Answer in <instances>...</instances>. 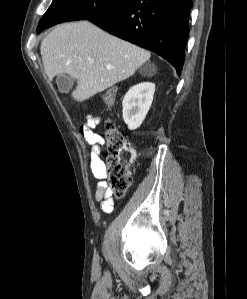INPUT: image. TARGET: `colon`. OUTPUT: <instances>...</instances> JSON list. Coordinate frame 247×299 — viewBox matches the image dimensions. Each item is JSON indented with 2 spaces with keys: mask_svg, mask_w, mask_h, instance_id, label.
<instances>
[{
  "mask_svg": "<svg viewBox=\"0 0 247 299\" xmlns=\"http://www.w3.org/2000/svg\"><path fill=\"white\" fill-rule=\"evenodd\" d=\"M115 97V91L112 89L103 93L102 98L108 109L113 107ZM104 137L106 156L103 178L111 193L121 197L126 194L133 181L136 151L110 119L105 122Z\"/></svg>",
  "mask_w": 247,
  "mask_h": 299,
  "instance_id": "1",
  "label": "colon"
}]
</instances>
